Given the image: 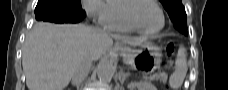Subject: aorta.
I'll list each match as a JSON object with an SVG mask.
<instances>
[{"label": "aorta", "instance_id": "obj_1", "mask_svg": "<svg viewBox=\"0 0 228 90\" xmlns=\"http://www.w3.org/2000/svg\"><path fill=\"white\" fill-rule=\"evenodd\" d=\"M113 69H114L113 58L112 57L103 58L97 67L98 78L102 81L107 80L111 76Z\"/></svg>", "mask_w": 228, "mask_h": 90}]
</instances>
